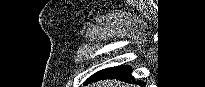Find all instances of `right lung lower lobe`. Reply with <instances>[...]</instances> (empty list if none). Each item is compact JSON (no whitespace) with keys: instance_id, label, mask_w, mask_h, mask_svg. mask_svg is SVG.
<instances>
[{"instance_id":"98d812e1","label":"right lung lower lobe","mask_w":205,"mask_h":87,"mask_svg":"<svg viewBox=\"0 0 205 87\" xmlns=\"http://www.w3.org/2000/svg\"><path fill=\"white\" fill-rule=\"evenodd\" d=\"M131 70L132 68L129 66H119L114 68L103 69L93 74L91 77H89L88 80H86L85 84L99 81L101 79H118V80L127 81L129 83L145 85L144 82L134 81V78L131 75Z\"/></svg>"}]
</instances>
